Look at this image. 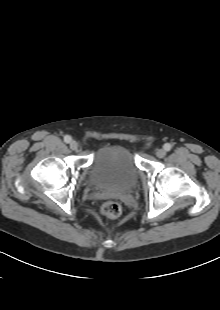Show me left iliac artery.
Returning a JSON list of instances; mask_svg holds the SVG:
<instances>
[{
    "instance_id": "obj_1",
    "label": "left iliac artery",
    "mask_w": 220,
    "mask_h": 310,
    "mask_svg": "<svg viewBox=\"0 0 220 310\" xmlns=\"http://www.w3.org/2000/svg\"><path fill=\"white\" fill-rule=\"evenodd\" d=\"M163 147H164V149H165L166 151H170L171 148H172L171 144H169V143L164 144Z\"/></svg>"
}]
</instances>
